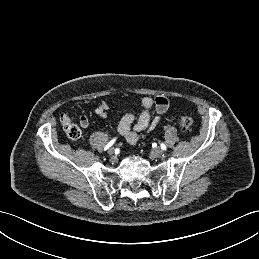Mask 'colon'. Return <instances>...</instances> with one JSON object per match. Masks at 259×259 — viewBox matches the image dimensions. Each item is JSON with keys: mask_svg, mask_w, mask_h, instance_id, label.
Here are the masks:
<instances>
[{"mask_svg": "<svg viewBox=\"0 0 259 259\" xmlns=\"http://www.w3.org/2000/svg\"><path fill=\"white\" fill-rule=\"evenodd\" d=\"M63 121V129L66 134V136L71 139V140H77L81 137L82 131L80 127L75 124L69 122H64ZM179 126L185 130V131H190L193 126V119L190 116L183 115L179 118Z\"/></svg>", "mask_w": 259, "mask_h": 259, "instance_id": "colon-1", "label": "colon"}]
</instances>
